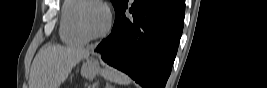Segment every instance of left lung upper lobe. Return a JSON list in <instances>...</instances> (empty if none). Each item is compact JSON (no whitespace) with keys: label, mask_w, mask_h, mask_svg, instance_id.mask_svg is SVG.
Instances as JSON below:
<instances>
[{"label":"left lung upper lobe","mask_w":267,"mask_h":88,"mask_svg":"<svg viewBox=\"0 0 267 88\" xmlns=\"http://www.w3.org/2000/svg\"><path fill=\"white\" fill-rule=\"evenodd\" d=\"M125 0H111L115 11L123 4Z\"/></svg>","instance_id":"5c2ea615"}]
</instances>
